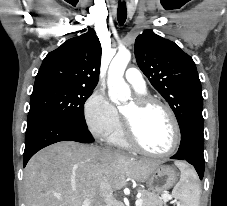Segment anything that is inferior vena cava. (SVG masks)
Wrapping results in <instances>:
<instances>
[{"instance_id":"inferior-vena-cava-1","label":"inferior vena cava","mask_w":227,"mask_h":206,"mask_svg":"<svg viewBox=\"0 0 227 206\" xmlns=\"http://www.w3.org/2000/svg\"><path fill=\"white\" fill-rule=\"evenodd\" d=\"M101 189H102V197L103 202L99 203L98 206H113V191L111 186L107 183V181H103L101 183Z\"/></svg>"}]
</instances>
